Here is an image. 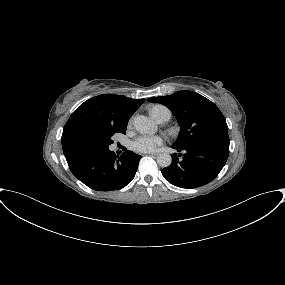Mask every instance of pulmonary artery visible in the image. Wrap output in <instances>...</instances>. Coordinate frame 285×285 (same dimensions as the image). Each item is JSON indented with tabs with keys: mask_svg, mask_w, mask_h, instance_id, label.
I'll return each mask as SVG.
<instances>
[{
	"mask_svg": "<svg viewBox=\"0 0 285 285\" xmlns=\"http://www.w3.org/2000/svg\"><path fill=\"white\" fill-rule=\"evenodd\" d=\"M169 119L167 117H162L158 120L159 123H165L167 122Z\"/></svg>",
	"mask_w": 285,
	"mask_h": 285,
	"instance_id": "e3ab8cb5",
	"label": "pulmonary artery"
}]
</instances>
